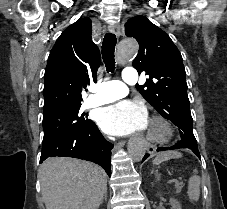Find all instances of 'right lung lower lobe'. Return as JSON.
<instances>
[{"label":"right lung lower lobe","mask_w":227,"mask_h":209,"mask_svg":"<svg viewBox=\"0 0 227 209\" xmlns=\"http://www.w3.org/2000/svg\"><path fill=\"white\" fill-rule=\"evenodd\" d=\"M113 145L105 140L97 125L62 133L42 143L40 163L49 157H73L99 164L111 176V149Z\"/></svg>","instance_id":"1"}]
</instances>
